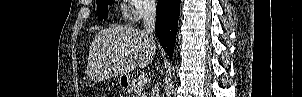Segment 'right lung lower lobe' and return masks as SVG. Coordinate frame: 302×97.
Listing matches in <instances>:
<instances>
[{
    "label": "right lung lower lobe",
    "instance_id": "1",
    "mask_svg": "<svg viewBox=\"0 0 302 97\" xmlns=\"http://www.w3.org/2000/svg\"><path fill=\"white\" fill-rule=\"evenodd\" d=\"M180 13V0H158L156 34L163 49L172 58Z\"/></svg>",
    "mask_w": 302,
    "mask_h": 97
}]
</instances>
